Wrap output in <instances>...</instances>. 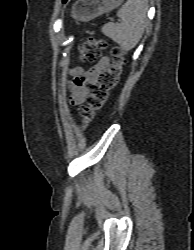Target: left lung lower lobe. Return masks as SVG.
<instances>
[{"label":"left lung lower lobe","instance_id":"0a47b994","mask_svg":"<svg viewBox=\"0 0 194 250\" xmlns=\"http://www.w3.org/2000/svg\"><path fill=\"white\" fill-rule=\"evenodd\" d=\"M67 0H63V2L65 3Z\"/></svg>","mask_w":194,"mask_h":250}]
</instances>
